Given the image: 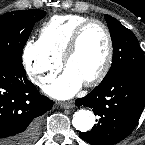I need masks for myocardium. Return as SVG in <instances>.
Returning a JSON list of instances; mask_svg holds the SVG:
<instances>
[{"mask_svg": "<svg viewBox=\"0 0 145 145\" xmlns=\"http://www.w3.org/2000/svg\"><path fill=\"white\" fill-rule=\"evenodd\" d=\"M91 24H98L104 30L106 38H107V52H106L103 65L101 66L98 73L95 74L92 78L83 82L84 85L87 87H92L99 84L106 77L112 65L113 56H114V43H113L112 34L109 28L107 27V25L101 20L95 19V18H90L84 21L83 23H81L72 34V37L62 57L63 66L67 68L68 62L70 61V59L72 58V56L75 54V52L78 49L79 42H80V39L84 30Z\"/></svg>", "mask_w": 145, "mask_h": 145, "instance_id": "myocardium-1", "label": "myocardium"}]
</instances>
